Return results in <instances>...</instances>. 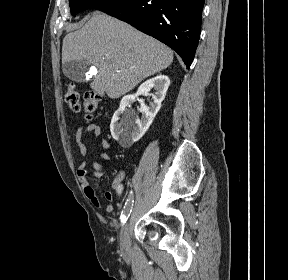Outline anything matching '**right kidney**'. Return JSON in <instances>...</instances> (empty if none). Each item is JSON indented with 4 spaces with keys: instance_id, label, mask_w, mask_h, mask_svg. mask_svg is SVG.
<instances>
[{
    "instance_id": "right-kidney-1",
    "label": "right kidney",
    "mask_w": 288,
    "mask_h": 280,
    "mask_svg": "<svg viewBox=\"0 0 288 280\" xmlns=\"http://www.w3.org/2000/svg\"><path fill=\"white\" fill-rule=\"evenodd\" d=\"M169 85L170 79L167 76L157 75L142 83L135 94L123 97L110 125L112 137L120 145L123 147L131 146L145 134L161 107V102L165 98ZM152 88L156 91L152 95L153 101L149 106L144 103L141 104L139 110L142 113L141 119L126 111L138 96L149 93Z\"/></svg>"
}]
</instances>
